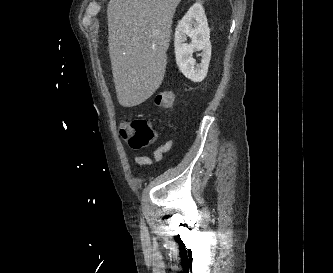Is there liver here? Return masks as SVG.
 Segmentation results:
<instances>
[{
	"label": "liver",
	"instance_id": "6515ba94",
	"mask_svg": "<svg viewBox=\"0 0 333 273\" xmlns=\"http://www.w3.org/2000/svg\"><path fill=\"white\" fill-rule=\"evenodd\" d=\"M181 0H110L108 44L119 104L134 107L160 87L172 19Z\"/></svg>",
	"mask_w": 333,
	"mask_h": 273
}]
</instances>
